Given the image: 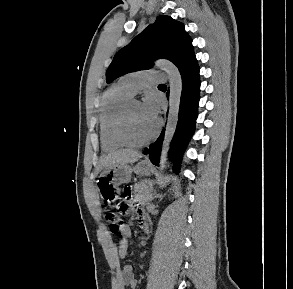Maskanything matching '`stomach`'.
<instances>
[{
  "instance_id": "0dacf381",
  "label": "stomach",
  "mask_w": 293,
  "mask_h": 289,
  "mask_svg": "<svg viewBox=\"0 0 293 289\" xmlns=\"http://www.w3.org/2000/svg\"><path fill=\"white\" fill-rule=\"evenodd\" d=\"M151 164L144 161L135 166L129 164H115L108 168L96 181L100 198L108 204L117 200L120 194L119 185L131 180L132 172L137 175L147 176L151 171Z\"/></svg>"
}]
</instances>
